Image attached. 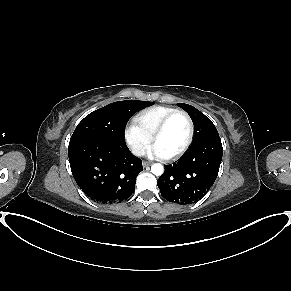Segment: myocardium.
Returning a JSON list of instances; mask_svg holds the SVG:
<instances>
[{"label": "myocardium", "mask_w": 291, "mask_h": 291, "mask_svg": "<svg viewBox=\"0 0 291 291\" xmlns=\"http://www.w3.org/2000/svg\"><path fill=\"white\" fill-rule=\"evenodd\" d=\"M177 115H182L185 117V119L187 120L188 123V137L187 140L184 144V146L177 151L176 153L169 155L167 158L168 159H178L179 157H181L184 153H186V151L189 149L190 145L192 144L193 141V137H194V124H193V120L191 119L190 115L183 111V110H175L172 113L168 114L159 124V126L157 127V129L155 130L153 136H152V141L153 143L156 142V140L164 133V131L166 130L169 122Z\"/></svg>", "instance_id": "1"}]
</instances>
